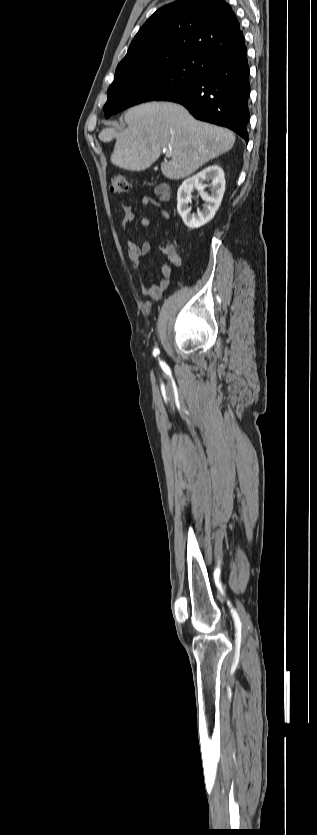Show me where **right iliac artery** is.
Segmentation results:
<instances>
[{
	"mask_svg": "<svg viewBox=\"0 0 317 835\" xmlns=\"http://www.w3.org/2000/svg\"><path fill=\"white\" fill-rule=\"evenodd\" d=\"M157 353H158V350H157V349H155V350H154V355H157Z\"/></svg>",
	"mask_w": 317,
	"mask_h": 835,
	"instance_id": "1",
	"label": "right iliac artery"
}]
</instances>
